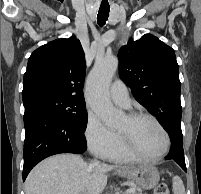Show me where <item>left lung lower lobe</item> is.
<instances>
[{
    "label": "left lung lower lobe",
    "mask_w": 201,
    "mask_h": 194,
    "mask_svg": "<svg viewBox=\"0 0 201 194\" xmlns=\"http://www.w3.org/2000/svg\"><path fill=\"white\" fill-rule=\"evenodd\" d=\"M171 139V150L166 156L167 160H174L185 172L186 165L184 159V151L182 145V131L181 124L171 123L166 129Z\"/></svg>",
    "instance_id": "left-lung-lower-lobe-1"
}]
</instances>
